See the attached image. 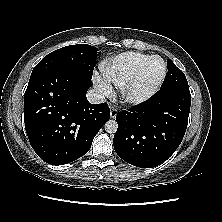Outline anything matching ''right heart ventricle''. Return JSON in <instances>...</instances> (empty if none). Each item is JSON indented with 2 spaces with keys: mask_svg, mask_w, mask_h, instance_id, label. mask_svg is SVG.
<instances>
[{
  "mask_svg": "<svg viewBox=\"0 0 222 222\" xmlns=\"http://www.w3.org/2000/svg\"><path fill=\"white\" fill-rule=\"evenodd\" d=\"M151 55L125 52L102 64L104 77L113 85L123 87Z\"/></svg>",
  "mask_w": 222,
  "mask_h": 222,
  "instance_id": "1",
  "label": "right heart ventricle"
}]
</instances>
